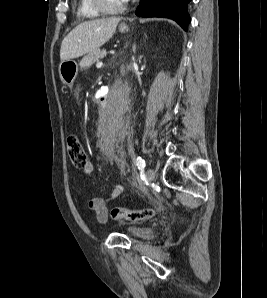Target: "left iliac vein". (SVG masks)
Returning <instances> with one entry per match:
<instances>
[{
  "label": "left iliac vein",
  "instance_id": "4c4485c4",
  "mask_svg": "<svg viewBox=\"0 0 267 298\" xmlns=\"http://www.w3.org/2000/svg\"><path fill=\"white\" fill-rule=\"evenodd\" d=\"M145 176H146V180H147L148 182H152V181L155 179L156 173H155L154 169H152V168H148V169L146 170V174H145Z\"/></svg>",
  "mask_w": 267,
  "mask_h": 298
}]
</instances>
